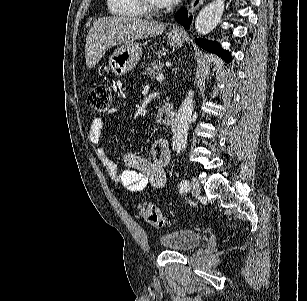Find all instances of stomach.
<instances>
[{
  "label": "stomach",
  "instance_id": "0dacf381",
  "mask_svg": "<svg viewBox=\"0 0 307 301\" xmlns=\"http://www.w3.org/2000/svg\"><path fill=\"white\" fill-rule=\"evenodd\" d=\"M167 38L170 46H183L185 40L183 34H175V32H169ZM142 54L143 44L131 40L114 50L110 56L109 66L116 76H121V74H126L135 68Z\"/></svg>",
  "mask_w": 307,
  "mask_h": 301
}]
</instances>
